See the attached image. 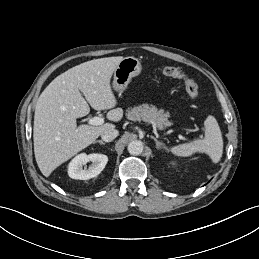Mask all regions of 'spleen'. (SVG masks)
Masks as SVG:
<instances>
[{
	"label": "spleen",
	"mask_w": 259,
	"mask_h": 259,
	"mask_svg": "<svg viewBox=\"0 0 259 259\" xmlns=\"http://www.w3.org/2000/svg\"><path fill=\"white\" fill-rule=\"evenodd\" d=\"M204 129V139L172 147L170 151L180 157H189L196 152L206 153L214 163H217L223 153V139L220 128L213 117H208L204 122Z\"/></svg>",
	"instance_id": "spleen-1"
}]
</instances>
